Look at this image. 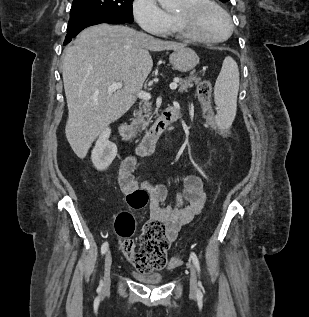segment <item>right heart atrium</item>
Returning <instances> with one entry per match:
<instances>
[{"instance_id":"1","label":"right heart atrium","mask_w":309,"mask_h":317,"mask_svg":"<svg viewBox=\"0 0 309 317\" xmlns=\"http://www.w3.org/2000/svg\"><path fill=\"white\" fill-rule=\"evenodd\" d=\"M132 12L138 25L150 34L158 35L170 26L169 16L157 0H134Z\"/></svg>"}]
</instances>
